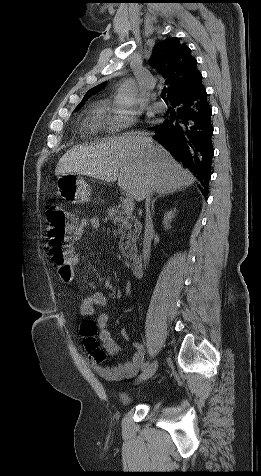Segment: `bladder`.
Instances as JSON below:
<instances>
[{"instance_id": "1", "label": "bladder", "mask_w": 261, "mask_h": 476, "mask_svg": "<svg viewBox=\"0 0 261 476\" xmlns=\"http://www.w3.org/2000/svg\"><path fill=\"white\" fill-rule=\"evenodd\" d=\"M120 401L123 404L127 405V404H130L132 402V399L129 396L125 395V394H121L120 395Z\"/></svg>"}]
</instances>
